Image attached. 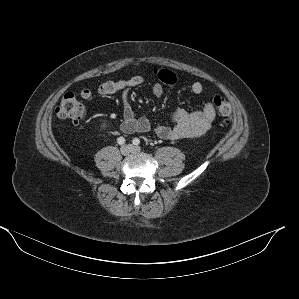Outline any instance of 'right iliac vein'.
<instances>
[{"label":"right iliac vein","instance_id":"right-iliac-vein-1","mask_svg":"<svg viewBox=\"0 0 299 299\" xmlns=\"http://www.w3.org/2000/svg\"><path fill=\"white\" fill-rule=\"evenodd\" d=\"M120 152L122 155L127 156L131 152V149L129 146L124 145L120 148Z\"/></svg>","mask_w":299,"mask_h":299}]
</instances>
